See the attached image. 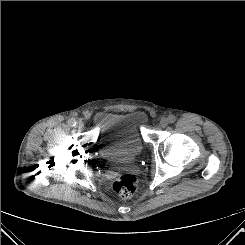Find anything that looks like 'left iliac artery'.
Listing matches in <instances>:
<instances>
[{
    "instance_id": "1",
    "label": "left iliac artery",
    "mask_w": 245,
    "mask_h": 245,
    "mask_svg": "<svg viewBox=\"0 0 245 245\" xmlns=\"http://www.w3.org/2000/svg\"><path fill=\"white\" fill-rule=\"evenodd\" d=\"M168 120L170 123H174L176 121V117L174 115H169Z\"/></svg>"
}]
</instances>
